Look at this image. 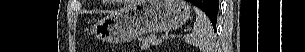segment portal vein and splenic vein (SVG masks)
Returning a JSON list of instances; mask_svg holds the SVG:
<instances>
[{
    "label": "portal vein and splenic vein",
    "mask_w": 305,
    "mask_h": 52,
    "mask_svg": "<svg viewBox=\"0 0 305 52\" xmlns=\"http://www.w3.org/2000/svg\"><path fill=\"white\" fill-rule=\"evenodd\" d=\"M185 31H190V29H187V30H185Z\"/></svg>",
    "instance_id": "portal-vein-and-splenic-vein-1"
}]
</instances>
